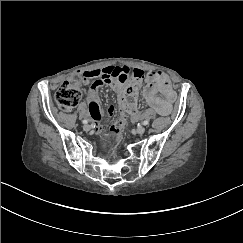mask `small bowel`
I'll return each mask as SVG.
<instances>
[{"instance_id": "small-bowel-1", "label": "small bowel", "mask_w": 243, "mask_h": 243, "mask_svg": "<svg viewBox=\"0 0 243 243\" xmlns=\"http://www.w3.org/2000/svg\"><path fill=\"white\" fill-rule=\"evenodd\" d=\"M143 75L147 86L143 95L152 109L160 115H169L172 110V104L176 98V93L170 84L165 73L160 71L144 72L137 70ZM130 69L126 66H107L104 68L83 72L82 84L92 82V87L88 95V108L91 117L99 121L105 114L101 108L98 98V88L103 84L111 86L115 90H119L123 84V80L127 79ZM161 94L162 97H159ZM108 116L114 114V108L109 106L106 110Z\"/></svg>"}]
</instances>
